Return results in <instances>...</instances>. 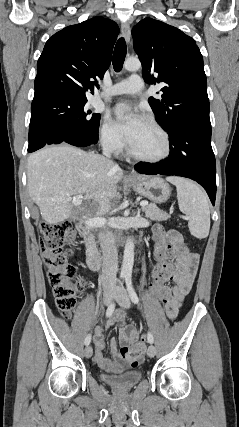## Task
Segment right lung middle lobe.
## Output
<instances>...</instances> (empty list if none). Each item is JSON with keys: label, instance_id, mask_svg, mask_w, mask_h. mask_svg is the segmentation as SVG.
Wrapping results in <instances>:
<instances>
[{"label": "right lung middle lobe", "instance_id": "dd1d6c3e", "mask_svg": "<svg viewBox=\"0 0 239 427\" xmlns=\"http://www.w3.org/2000/svg\"><path fill=\"white\" fill-rule=\"evenodd\" d=\"M86 103L87 99L58 95L33 99L28 149L58 139L83 143L94 141L100 115L91 114L92 110L87 109Z\"/></svg>", "mask_w": 239, "mask_h": 427}]
</instances>
